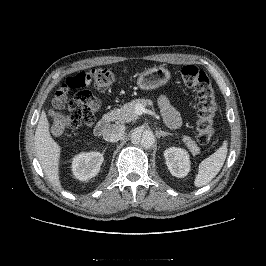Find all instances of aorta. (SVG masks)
<instances>
[{
  "label": "aorta",
  "instance_id": "obj_1",
  "mask_svg": "<svg viewBox=\"0 0 266 266\" xmlns=\"http://www.w3.org/2000/svg\"><path fill=\"white\" fill-rule=\"evenodd\" d=\"M133 144H140L144 148H150L155 142V135L151 130L136 128L131 134Z\"/></svg>",
  "mask_w": 266,
  "mask_h": 266
}]
</instances>
